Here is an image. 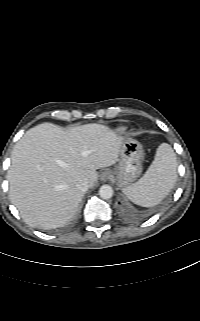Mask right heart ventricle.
<instances>
[{"mask_svg":"<svg viewBox=\"0 0 200 321\" xmlns=\"http://www.w3.org/2000/svg\"><path fill=\"white\" fill-rule=\"evenodd\" d=\"M119 130H124V128H120Z\"/></svg>","mask_w":200,"mask_h":321,"instance_id":"e07e8e85","label":"right heart ventricle"}]
</instances>
